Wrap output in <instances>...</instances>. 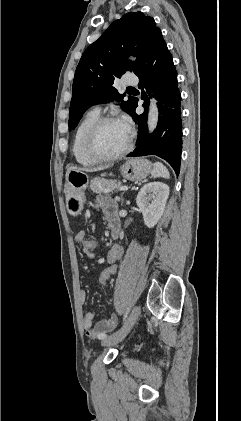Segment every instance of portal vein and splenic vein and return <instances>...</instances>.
<instances>
[{"label": "portal vein and splenic vein", "mask_w": 241, "mask_h": 421, "mask_svg": "<svg viewBox=\"0 0 241 421\" xmlns=\"http://www.w3.org/2000/svg\"><path fill=\"white\" fill-rule=\"evenodd\" d=\"M119 190H128V187L127 186H121L120 188H119Z\"/></svg>", "instance_id": "obj_1"}]
</instances>
